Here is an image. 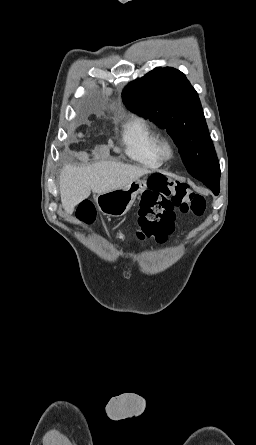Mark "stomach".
Wrapping results in <instances>:
<instances>
[{"label": "stomach", "mask_w": 256, "mask_h": 445, "mask_svg": "<svg viewBox=\"0 0 256 445\" xmlns=\"http://www.w3.org/2000/svg\"><path fill=\"white\" fill-rule=\"evenodd\" d=\"M147 183L148 178L137 179L123 188L98 194L95 198L98 209L106 216L125 215L137 196L147 189Z\"/></svg>", "instance_id": "obj_1"}]
</instances>
